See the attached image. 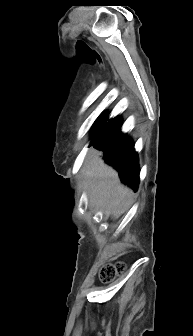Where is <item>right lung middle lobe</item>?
<instances>
[{
	"label": "right lung middle lobe",
	"instance_id": "right-lung-middle-lobe-1",
	"mask_svg": "<svg viewBox=\"0 0 193 336\" xmlns=\"http://www.w3.org/2000/svg\"><path fill=\"white\" fill-rule=\"evenodd\" d=\"M106 119H107V115H103L97 119V123H95L94 128L92 130V136L94 137V139L103 133L105 126L107 124L105 122Z\"/></svg>",
	"mask_w": 193,
	"mask_h": 336
}]
</instances>
